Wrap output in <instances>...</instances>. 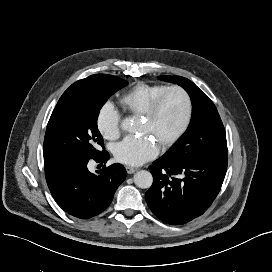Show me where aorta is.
Masks as SVG:
<instances>
[{
  "label": "aorta",
  "mask_w": 272,
  "mask_h": 272,
  "mask_svg": "<svg viewBox=\"0 0 272 272\" xmlns=\"http://www.w3.org/2000/svg\"><path fill=\"white\" fill-rule=\"evenodd\" d=\"M121 128L124 131H132L134 122L131 118H125L121 123ZM153 182L152 174L149 171L141 170L134 174V183L142 189L150 188Z\"/></svg>",
  "instance_id": "762f6f07"
}]
</instances>
